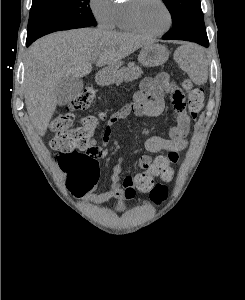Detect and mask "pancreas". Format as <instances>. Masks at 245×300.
<instances>
[{"label": "pancreas", "instance_id": "1", "mask_svg": "<svg viewBox=\"0 0 245 300\" xmlns=\"http://www.w3.org/2000/svg\"><path fill=\"white\" fill-rule=\"evenodd\" d=\"M142 70L134 63H129L127 67L120 69L116 77V85H120L123 81H132L141 77Z\"/></svg>", "mask_w": 245, "mask_h": 300}]
</instances>
